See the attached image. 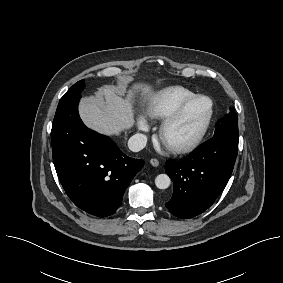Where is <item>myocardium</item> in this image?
Segmentation results:
<instances>
[{
	"instance_id": "obj_1",
	"label": "myocardium",
	"mask_w": 283,
	"mask_h": 283,
	"mask_svg": "<svg viewBox=\"0 0 283 283\" xmlns=\"http://www.w3.org/2000/svg\"><path fill=\"white\" fill-rule=\"evenodd\" d=\"M200 99H207L210 102L209 113L200 131L193 138L185 142L172 144V145L167 144L166 137L169 131L180 121V119L183 117L187 109L194 102ZM214 109H215L214 101L209 96L203 94L194 95L190 99L186 100L175 112H173L169 117H167L164 120V122L162 123L159 129L158 136L160 140L166 143L168 147L175 153H186L194 150L203 141L204 137L206 136L209 130L214 115Z\"/></svg>"
}]
</instances>
